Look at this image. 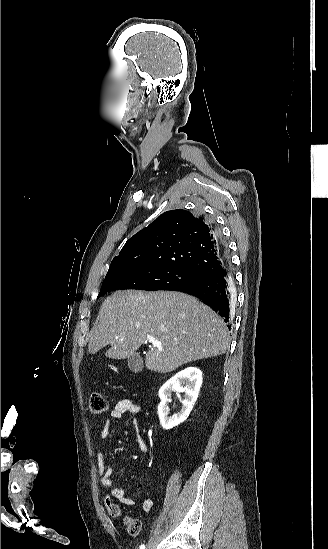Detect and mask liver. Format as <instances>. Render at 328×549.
<instances>
[{
  "mask_svg": "<svg viewBox=\"0 0 328 549\" xmlns=\"http://www.w3.org/2000/svg\"><path fill=\"white\" fill-rule=\"evenodd\" d=\"M148 339L162 343L149 345L145 357L146 369L156 373L223 355L230 345L224 321L196 297L176 291H116L99 311L88 351L95 355L111 345L105 357L128 359Z\"/></svg>",
  "mask_w": 328,
  "mask_h": 549,
  "instance_id": "liver-1",
  "label": "liver"
}]
</instances>
